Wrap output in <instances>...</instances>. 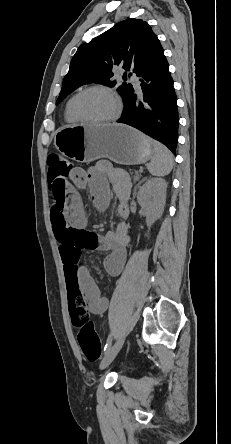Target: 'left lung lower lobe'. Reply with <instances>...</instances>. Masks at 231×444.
I'll use <instances>...</instances> for the list:
<instances>
[{"label":"left lung lower lobe","mask_w":231,"mask_h":444,"mask_svg":"<svg viewBox=\"0 0 231 444\" xmlns=\"http://www.w3.org/2000/svg\"><path fill=\"white\" fill-rule=\"evenodd\" d=\"M168 67L164 50L160 48L137 72L141 95L132 88L118 122L141 130L175 153L179 116L174 82Z\"/></svg>","instance_id":"1"}]
</instances>
